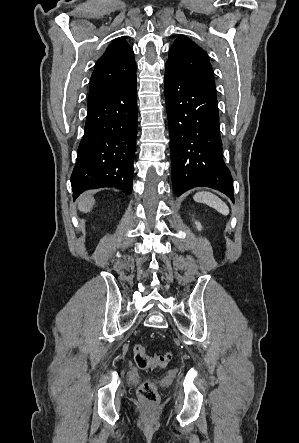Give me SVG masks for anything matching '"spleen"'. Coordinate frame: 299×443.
I'll return each instance as SVG.
<instances>
[{
  "instance_id": "obj_1",
  "label": "spleen",
  "mask_w": 299,
  "mask_h": 443,
  "mask_svg": "<svg viewBox=\"0 0 299 443\" xmlns=\"http://www.w3.org/2000/svg\"><path fill=\"white\" fill-rule=\"evenodd\" d=\"M193 199L196 202L204 203L214 208L216 211L224 216H227L229 214V207L226 205V203L223 202L218 196L210 192H198L193 196Z\"/></svg>"
}]
</instances>
